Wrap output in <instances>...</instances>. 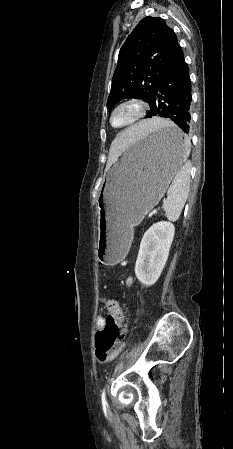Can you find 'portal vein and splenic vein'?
<instances>
[{
    "label": "portal vein and splenic vein",
    "instance_id": "obj_1",
    "mask_svg": "<svg viewBox=\"0 0 233 449\" xmlns=\"http://www.w3.org/2000/svg\"><path fill=\"white\" fill-rule=\"evenodd\" d=\"M156 213H157V208H155V209H153V210L151 211L150 216H152V215H154V214H156Z\"/></svg>",
    "mask_w": 233,
    "mask_h": 449
}]
</instances>
